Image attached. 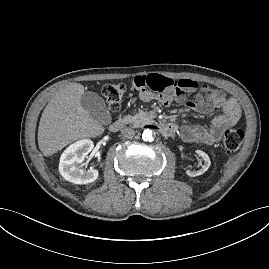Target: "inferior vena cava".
I'll return each instance as SVG.
<instances>
[{"instance_id": "602c4592", "label": "inferior vena cava", "mask_w": 269, "mask_h": 269, "mask_svg": "<svg viewBox=\"0 0 269 269\" xmlns=\"http://www.w3.org/2000/svg\"><path fill=\"white\" fill-rule=\"evenodd\" d=\"M121 134L123 137L131 139L135 136V131L131 127H125L121 130Z\"/></svg>"}]
</instances>
